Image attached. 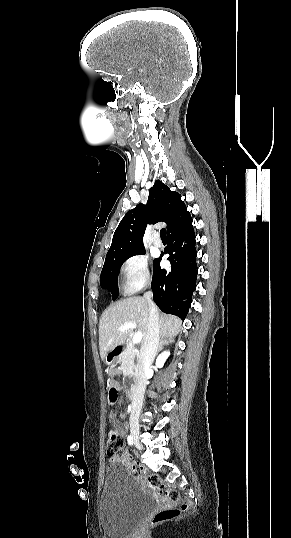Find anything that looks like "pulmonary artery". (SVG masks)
<instances>
[{"instance_id":"e3ab8cb5","label":"pulmonary artery","mask_w":291,"mask_h":538,"mask_svg":"<svg viewBox=\"0 0 291 538\" xmlns=\"http://www.w3.org/2000/svg\"><path fill=\"white\" fill-rule=\"evenodd\" d=\"M153 244H154V246H156V247H162V241H161L159 238H156V239L153 241Z\"/></svg>"}]
</instances>
